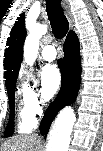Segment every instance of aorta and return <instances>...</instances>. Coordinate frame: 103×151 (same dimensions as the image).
<instances>
[{
	"label": "aorta",
	"mask_w": 103,
	"mask_h": 151,
	"mask_svg": "<svg viewBox=\"0 0 103 151\" xmlns=\"http://www.w3.org/2000/svg\"><path fill=\"white\" fill-rule=\"evenodd\" d=\"M47 32V26L35 24L25 40L24 61L33 65L37 58L39 40ZM76 115L71 107L64 108L57 116L51 130L46 151H68Z\"/></svg>",
	"instance_id": "1"
}]
</instances>
